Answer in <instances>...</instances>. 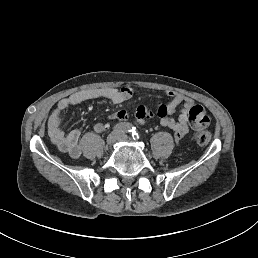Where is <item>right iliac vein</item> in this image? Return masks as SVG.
<instances>
[{"mask_svg": "<svg viewBox=\"0 0 258 258\" xmlns=\"http://www.w3.org/2000/svg\"><path fill=\"white\" fill-rule=\"evenodd\" d=\"M120 139V133L118 131H113L106 138L108 144L113 145Z\"/></svg>", "mask_w": 258, "mask_h": 258, "instance_id": "63e3f726", "label": "right iliac vein"}]
</instances>
